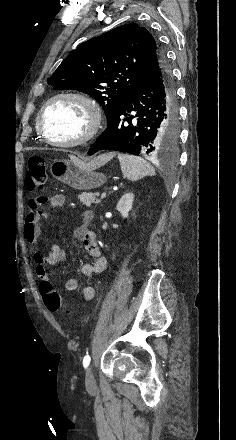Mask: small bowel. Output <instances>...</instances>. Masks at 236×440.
<instances>
[{
    "mask_svg": "<svg viewBox=\"0 0 236 440\" xmlns=\"http://www.w3.org/2000/svg\"><path fill=\"white\" fill-rule=\"evenodd\" d=\"M65 202L66 197L64 195L52 197L39 196L30 200L24 224V237L28 243L32 245L39 244L42 220L47 216V210L61 207ZM91 220V211L86 210L82 212L80 223L73 234V241L77 244H82L87 253L94 258V262L83 264L81 267V274L86 278H91L95 274L101 273L107 264L106 257L98 246L94 232L89 229ZM65 258V251L57 244H52L46 253L34 251L35 271L40 279V285L47 282V267L55 266L63 262ZM78 286V280L71 278L66 281L64 288L68 292H73L78 289ZM82 296L85 301L93 300L95 296L94 288L92 286H85L82 290Z\"/></svg>",
    "mask_w": 236,
    "mask_h": 440,
    "instance_id": "1",
    "label": "small bowel"
}]
</instances>
